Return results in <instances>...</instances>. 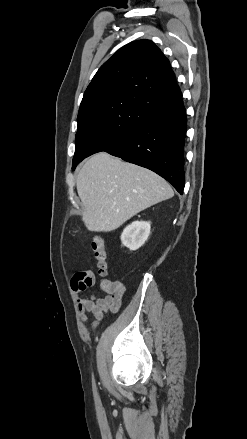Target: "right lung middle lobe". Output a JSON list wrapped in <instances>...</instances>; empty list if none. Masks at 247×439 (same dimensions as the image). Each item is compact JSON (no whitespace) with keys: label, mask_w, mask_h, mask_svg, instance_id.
I'll return each instance as SVG.
<instances>
[{"label":"right lung middle lobe","mask_w":247,"mask_h":439,"mask_svg":"<svg viewBox=\"0 0 247 439\" xmlns=\"http://www.w3.org/2000/svg\"><path fill=\"white\" fill-rule=\"evenodd\" d=\"M151 110L128 100H113L78 113L73 169L84 158L106 151L133 132Z\"/></svg>","instance_id":"dd1d6c3e"}]
</instances>
